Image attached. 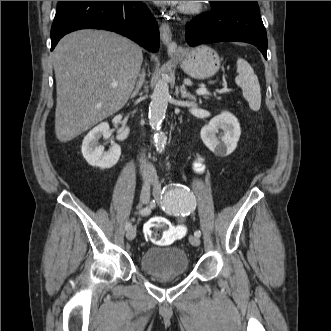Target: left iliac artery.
Masks as SVG:
<instances>
[{"mask_svg": "<svg viewBox=\"0 0 331 331\" xmlns=\"http://www.w3.org/2000/svg\"><path fill=\"white\" fill-rule=\"evenodd\" d=\"M163 210L174 216L187 217L195 209V198L190 189L182 184H171L163 190ZM195 236L200 237L201 232L195 231Z\"/></svg>", "mask_w": 331, "mask_h": 331, "instance_id": "1", "label": "left iliac artery"}]
</instances>
